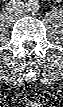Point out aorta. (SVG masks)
<instances>
[{
	"instance_id": "1",
	"label": "aorta",
	"mask_w": 63,
	"mask_h": 107,
	"mask_svg": "<svg viewBox=\"0 0 63 107\" xmlns=\"http://www.w3.org/2000/svg\"><path fill=\"white\" fill-rule=\"evenodd\" d=\"M27 11L36 12L39 9V2L37 0H28L25 3Z\"/></svg>"
}]
</instances>
